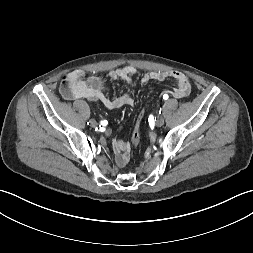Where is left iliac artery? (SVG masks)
<instances>
[{
    "label": "left iliac artery",
    "instance_id": "1",
    "mask_svg": "<svg viewBox=\"0 0 253 253\" xmlns=\"http://www.w3.org/2000/svg\"><path fill=\"white\" fill-rule=\"evenodd\" d=\"M164 99H165V100L168 99V96H164Z\"/></svg>",
    "mask_w": 253,
    "mask_h": 253
}]
</instances>
